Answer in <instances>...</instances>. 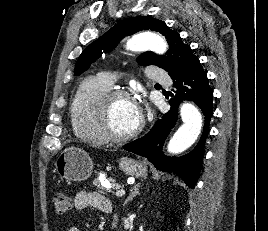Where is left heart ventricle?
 Returning <instances> with one entry per match:
<instances>
[{
    "instance_id": "1",
    "label": "left heart ventricle",
    "mask_w": 268,
    "mask_h": 231,
    "mask_svg": "<svg viewBox=\"0 0 268 231\" xmlns=\"http://www.w3.org/2000/svg\"><path fill=\"white\" fill-rule=\"evenodd\" d=\"M141 113L131 99L122 98L114 102L111 108V123L119 133L134 130L140 123Z\"/></svg>"
}]
</instances>
